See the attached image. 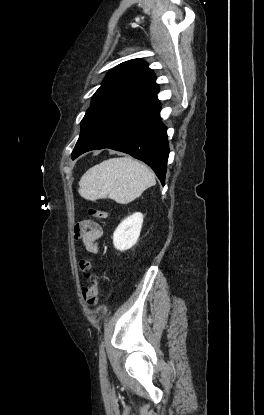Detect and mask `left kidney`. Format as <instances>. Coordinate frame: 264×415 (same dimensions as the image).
<instances>
[{"mask_svg":"<svg viewBox=\"0 0 264 415\" xmlns=\"http://www.w3.org/2000/svg\"><path fill=\"white\" fill-rule=\"evenodd\" d=\"M143 224V214L136 212L125 218L113 233L114 247L119 251L132 248L138 241Z\"/></svg>","mask_w":264,"mask_h":415,"instance_id":"obj_1","label":"left kidney"}]
</instances>
